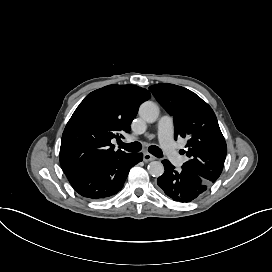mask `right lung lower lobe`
Masks as SVG:
<instances>
[{"mask_svg": "<svg viewBox=\"0 0 272 272\" xmlns=\"http://www.w3.org/2000/svg\"><path fill=\"white\" fill-rule=\"evenodd\" d=\"M142 157V153H124L110 161L73 171L66 176L81 196L104 199L122 189L130 169L142 161Z\"/></svg>", "mask_w": 272, "mask_h": 272, "instance_id": "obj_1", "label": "right lung lower lobe"}]
</instances>
